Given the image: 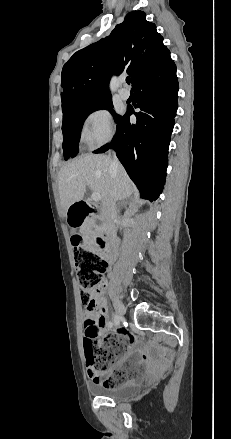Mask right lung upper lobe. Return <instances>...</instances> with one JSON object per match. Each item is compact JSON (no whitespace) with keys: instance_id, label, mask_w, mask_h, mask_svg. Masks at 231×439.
<instances>
[{"instance_id":"1","label":"right lung upper lobe","mask_w":231,"mask_h":439,"mask_svg":"<svg viewBox=\"0 0 231 439\" xmlns=\"http://www.w3.org/2000/svg\"><path fill=\"white\" fill-rule=\"evenodd\" d=\"M170 51L148 22L143 11L126 15L111 34L75 52L62 69V110L75 105L111 98L108 90L111 75L126 71L133 85L156 70Z\"/></svg>"}]
</instances>
